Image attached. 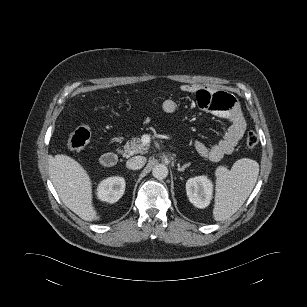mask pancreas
<instances>
[{
	"mask_svg": "<svg viewBox=\"0 0 307 307\" xmlns=\"http://www.w3.org/2000/svg\"><path fill=\"white\" fill-rule=\"evenodd\" d=\"M147 146L138 137H133L124 146V151H121L123 157H130L134 154L144 153L147 150Z\"/></svg>",
	"mask_w": 307,
	"mask_h": 307,
	"instance_id": "cf45deb5",
	"label": "pancreas"
}]
</instances>
